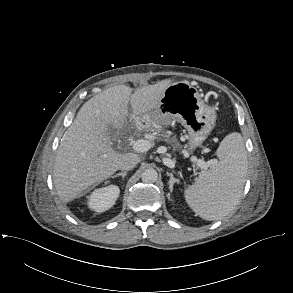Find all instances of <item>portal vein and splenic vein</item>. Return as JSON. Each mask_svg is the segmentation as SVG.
<instances>
[{
  "label": "portal vein and splenic vein",
  "mask_w": 293,
  "mask_h": 293,
  "mask_svg": "<svg viewBox=\"0 0 293 293\" xmlns=\"http://www.w3.org/2000/svg\"><path fill=\"white\" fill-rule=\"evenodd\" d=\"M132 148L136 151V152H146L151 148V143L147 140L144 139H139L133 142L132 144ZM192 161L194 163H196L199 167L206 169L208 166H210L211 164H213V162L209 161V162H205L202 159H197L196 157H192ZM172 167V166H171Z\"/></svg>",
  "instance_id": "portal-vein-and-splenic-vein-1"
}]
</instances>
